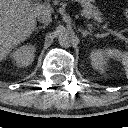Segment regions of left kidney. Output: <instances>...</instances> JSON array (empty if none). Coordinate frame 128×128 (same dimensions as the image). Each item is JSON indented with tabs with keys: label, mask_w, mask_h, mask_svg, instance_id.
Returning <instances> with one entry per match:
<instances>
[{
	"label": "left kidney",
	"mask_w": 128,
	"mask_h": 128,
	"mask_svg": "<svg viewBox=\"0 0 128 128\" xmlns=\"http://www.w3.org/2000/svg\"><path fill=\"white\" fill-rule=\"evenodd\" d=\"M90 59L94 69L104 72L107 62L101 50L97 49L92 51L90 53Z\"/></svg>",
	"instance_id": "left-kidney-1"
}]
</instances>
